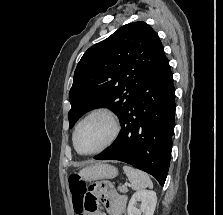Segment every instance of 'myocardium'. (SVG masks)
<instances>
[{
  "instance_id": "obj_1",
  "label": "myocardium",
  "mask_w": 223,
  "mask_h": 215,
  "mask_svg": "<svg viewBox=\"0 0 223 215\" xmlns=\"http://www.w3.org/2000/svg\"><path fill=\"white\" fill-rule=\"evenodd\" d=\"M94 117H103V118L107 119L108 122L111 125V133H110V136L107 139V141L101 147H99L98 149H96L94 151L83 153V152L79 151L77 146H76V134H77V131H78L79 127L84 122H86L89 119H92ZM119 133H120V124H119L116 116L114 115V113L112 111L108 110V109H105V108H98V109H95V110L91 111L89 114H87L85 117H83L76 124V126L74 128V131H73L72 142H73V146L75 148V151L79 155H81V156H93V155L101 153L102 151L111 147L113 145V143L116 141Z\"/></svg>"
}]
</instances>
